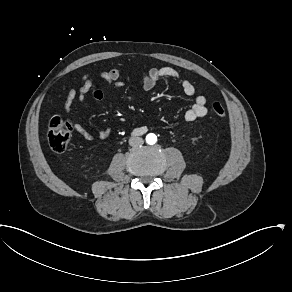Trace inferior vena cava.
<instances>
[{
    "instance_id": "inferior-vena-cava-1",
    "label": "inferior vena cava",
    "mask_w": 292,
    "mask_h": 292,
    "mask_svg": "<svg viewBox=\"0 0 292 292\" xmlns=\"http://www.w3.org/2000/svg\"><path fill=\"white\" fill-rule=\"evenodd\" d=\"M144 140L140 137H131L129 139V145L131 146H140L143 145Z\"/></svg>"
}]
</instances>
